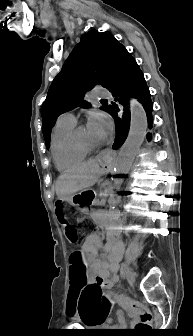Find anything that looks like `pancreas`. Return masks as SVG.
<instances>
[{"label": "pancreas", "mask_w": 193, "mask_h": 336, "mask_svg": "<svg viewBox=\"0 0 193 336\" xmlns=\"http://www.w3.org/2000/svg\"><path fill=\"white\" fill-rule=\"evenodd\" d=\"M108 194L105 195L104 199H98L96 201V204L93 206V209L95 211L101 212V211H105L107 209V202L105 201V199H107Z\"/></svg>", "instance_id": "pancreas-1"}]
</instances>
